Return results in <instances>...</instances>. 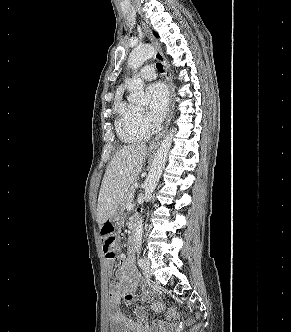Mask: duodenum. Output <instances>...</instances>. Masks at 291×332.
I'll return each instance as SVG.
<instances>
[{"label":"duodenum","mask_w":291,"mask_h":332,"mask_svg":"<svg viewBox=\"0 0 291 332\" xmlns=\"http://www.w3.org/2000/svg\"><path fill=\"white\" fill-rule=\"evenodd\" d=\"M136 227V222L133 220L131 222V228L134 229ZM130 250H133V241L130 242Z\"/></svg>","instance_id":"410a0bca"}]
</instances>
